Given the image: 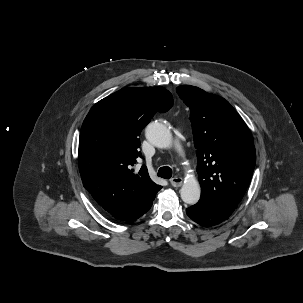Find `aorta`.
I'll return each instance as SVG.
<instances>
[{"instance_id":"1","label":"aorta","mask_w":303,"mask_h":303,"mask_svg":"<svg viewBox=\"0 0 303 303\" xmlns=\"http://www.w3.org/2000/svg\"><path fill=\"white\" fill-rule=\"evenodd\" d=\"M147 140L158 148H169L172 145V134L168 127L160 122H151L145 130ZM181 199L187 204L198 202L201 189L196 178H187L180 190Z\"/></svg>"}]
</instances>
